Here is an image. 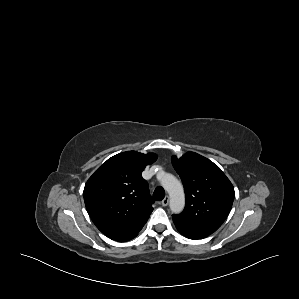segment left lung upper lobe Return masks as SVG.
Here are the masks:
<instances>
[{
    "label": "left lung upper lobe",
    "instance_id": "1",
    "mask_svg": "<svg viewBox=\"0 0 299 299\" xmlns=\"http://www.w3.org/2000/svg\"><path fill=\"white\" fill-rule=\"evenodd\" d=\"M172 164L186 196L185 209L173 217L189 231L211 235L230 213L233 185L216 164L197 153L187 152L179 159L173 156Z\"/></svg>",
    "mask_w": 299,
    "mask_h": 299
}]
</instances>
